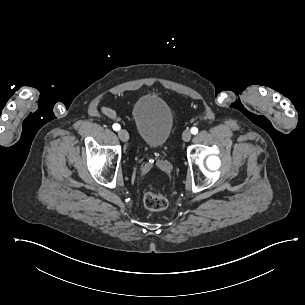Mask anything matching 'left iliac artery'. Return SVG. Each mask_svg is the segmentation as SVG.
I'll use <instances>...</instances> for the list:
<instances>
[{"instance_id":"1","label":"left iliac artery","mask_w":305,"mask_h":305,"mask_svg":"<svg viewBox=\"0 0 305 305\" xmlns=\"http://www.w3.org/2000/svg\"><path fill=\"white\" fill-rule=\"evenodd\" d=\"M191 133L194 134V135L197 134L198 133V128L192 127L191 128Z\"/></svg>"}]
</instances>
